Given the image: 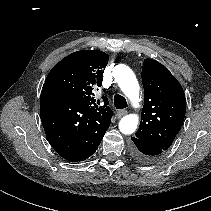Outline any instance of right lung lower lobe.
Returning a JSON list of instances; mask_svg holds the SVG:
<instances>
[{
    "label": "right lung lower lobe",
    "mask_w": 211,
    "mask_h": 211,
    "mask_svg": "<svg viewBox=\"0 0 211 211\" xmlns=\"http://www.w3.org/2000/svg\"><path fill=\"white\" fill-rule=\"evenodd\" d=\"M40 116L54 150L68 161H83L95 153L110 123L87 115L72 97L42 90Z\"/></svg>",
    "instance_id": "obj_1"
}]
</instances>
